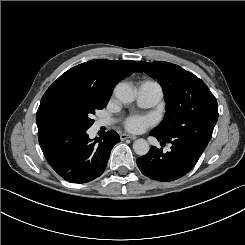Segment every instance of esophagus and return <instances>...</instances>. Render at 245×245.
I'll use <instances>...</instances> for the list:
<instances>
[{
    "instance_id": "esophagus-1",
    "label": "esophagus",
    "mask_w": 245,
    "mask_h": 245,
    "mask_svg": "<svg viewBox=\"0 0 245 245\" xmlns=\"http://www.w3.org/2000/svg\"><path fill=\"white\" fill-rule=\"evenodd\" d=\"M136 137L131 135V134H125V133H122L120 134V139L121 140H126V139H135Z\"/></svg>"
}]
</instances>
